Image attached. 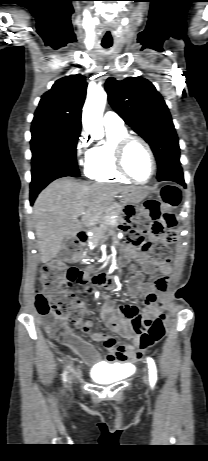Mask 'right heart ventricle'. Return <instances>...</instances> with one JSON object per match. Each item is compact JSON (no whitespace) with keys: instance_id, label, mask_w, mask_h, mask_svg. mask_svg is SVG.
Masks as SVG:
<instances>
[{"instance_id":"1","label":"right heart ventricle","mask_w":208,"mask_h":461,"mask_svg":"<svg viewBox=\"0 0 208 461\" xmlns=\"http://www.w3.org/2000/svg\"><path fill=\"white\" fill-rule=\"evenodd\" d=\"M107 140L103 144L92 147L85 161V175L98 182L127 183L129 179L123 176L115 164L114 148L116 143L128 135L125 127H106Z\"/></svg>"}]
</instances>
